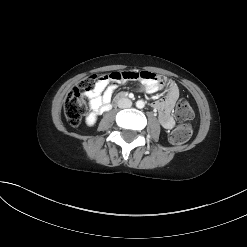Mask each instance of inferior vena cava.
I'll list each match as a JSON object with an SVG mask.
<instances>
[{
    "label": "inferior vena cava",
    "instance_id": "inferior-vena-cava-1",
    "mask_svg": "<svg viewBox=\"0 0 247 247\" xmlns=\"http://www.w3.org/2000/svg\"><path fill=\"white\" fill-rule=\"evenodd\" d=\"M132 106V102L128 98H121L118 101V107L119 108H129Z\"/></svg>",
    "mask_w": 247,
    "mask_h": 247
}]
</instances>
